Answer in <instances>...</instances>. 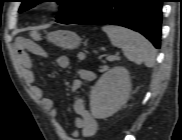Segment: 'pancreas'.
Wrapping results in <instances>:
<instances>
[{
  "mask_svg": "<svg viewBox=\"0 0 182 140\" xmlns=\"http://www.w3.org/2000/svg\"><path fill=\"white\" fill-rule=\"evenodd\" d=\"M108 70V66H106V65H104V66H101L100 67V72H105V71H107Z\"/></svg>",
  "mask_w": 182,
  "mask_h": 140,
  "instance_id": "1",
  "label": "pancreas"
}]
</instances>
